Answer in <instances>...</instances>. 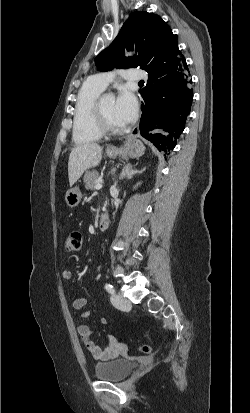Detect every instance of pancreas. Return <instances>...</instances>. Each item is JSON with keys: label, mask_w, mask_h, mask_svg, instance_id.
<instances>
[{"label": "pancreas", "mask_w": 250, "mask_h": 413, "mask_svg": "<svg viewBox=\"0 0 250 413\" xmlns=\"http://www.w3.org/2000/svg\"><path fill=\"white\" fill-rule=\"evenodd\" d=\"M100 176L96 170L86 171L84 174V183L87 190H93L99 183Z\"/></svg>", "instance_id": "obj_1"}]
</instances>
